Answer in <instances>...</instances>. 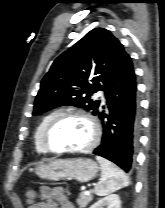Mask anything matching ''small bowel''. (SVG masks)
I'll list each match as a JSON object with an SVG mask.
<instances>
[{
	"label": "small bowel",
	"instance_id": "1",
	"mask_svg": "<svg viewBox=\"0 0 165 208\" xmlns=\"http://www.w3.org/2000/svg\"><path fill=\"white\" fill-rule=\"evenodd\" d=\"M41 201L28 208H75L62 187H40Z\"/></svg>",
	"mask_w": 165,
	"mask_h": 208
}]
</instances>
